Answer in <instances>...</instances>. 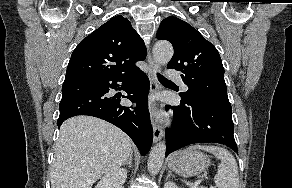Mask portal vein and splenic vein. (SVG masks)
Here are the masks:
<instances>
[{
  "instance_id": "18ae733b",
  "label": "portal vein and splenic vein",
  "mask_w": 292,
  "mask_h": 188,
  "mask_svg": "<svg viewBox=\"0 0 292 188\" xmlns=\"http://www.w3.org/2000/svg\"><path fill=\"white\" fill-rule=\"evenodd\" d=\"M201 182V180H198V181H196L194 184H193V186H192V188H197V186H198V184ZM210 188H216L215 186H211Z\"/></svg>"
}]
</instances>
